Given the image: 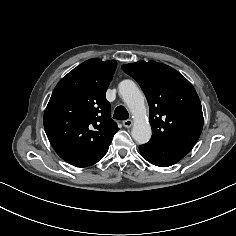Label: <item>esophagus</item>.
I'll return each mask as SVG.
<instances>
[{
    "label": "esophagus",
    "mask_w": 236,
    "mask_h": 236,
    "mask_svg": "<svg viewBox=\"0 0 236 236\" xmlns=\"http://www.w3.org/2000/svg\"><path fill=\"white\" fill-rule=\"evenodd\" d=\"M133 125V121L131 119H127L123 121V126L126 128H130Z\"/></svg>",
    "instance_id": "obj_1"
}]
</instances>
